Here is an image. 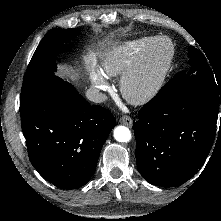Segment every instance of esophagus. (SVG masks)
<instances>
[{"label": "esophagus", "instance_id": "1", "mask_svg": "<svg viewBox=\"0 0 221 221\" xmlns=\"http://www.w3.org/2000/svg\"><path fill=\"white\" fill-rule=\"evenodd\" d=\"M119 122H120L121 124H124V125L128 126V127H131L132 124H133V121H132V119H131L129 116H123V117H121L120 120H119Z\"/></svg>", "mask_w": 221, "mask_h": 221}]
</instances>
